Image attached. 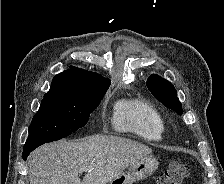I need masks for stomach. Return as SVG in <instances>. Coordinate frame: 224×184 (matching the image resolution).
Masks as SVG:
<instances>
[{
	"mask_svg": "<svg viewBox=\"0 0 224 184\" xmlns=\"http://www.w3.org/2000/svg\"><path fill=\"white\" fill-rule=\"evenodd\" d=\"M158 167V161L146 156L132 162L127 171L111 180L109 184H133L152 175Z\"/></svg>",
	"mask_w": 224,
	"mask_h": 184,
	"instance_id": "0dacf381",
	"label": "stomach"
}]
</instances>
